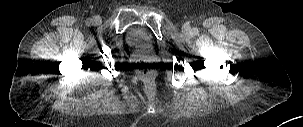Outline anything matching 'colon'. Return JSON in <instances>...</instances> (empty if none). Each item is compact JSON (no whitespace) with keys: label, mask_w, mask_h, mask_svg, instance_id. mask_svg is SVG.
<instances>
[{"label":"colon","mask_w":303,"mask_h":127,"mask_svg":"<svg viewBox=\"0 0 303 127\" xmlns=\"http://www.w3.org/2000/svg\"><path fill=\"white\" fill-rule=\"evenodd\" d=\"M140 70L145 76H149L151 72L149 65L144 63L140 65Z\"/></svg>","instance_id":"colon-1"}]
</instances>
